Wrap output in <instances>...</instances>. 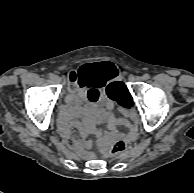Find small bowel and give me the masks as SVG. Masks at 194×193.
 <instances>
[{"mask_svg":"<svg viewBox=\"0 0 194 193\" xmlns=\"http://www.w3.org/2000/svg\"><path fill=\"white\" fill-rule=\"evenodd\" d=\"M118 74L117 68L107 62H100L88 66L78 76L79 88L71 95L74 100L65 105L61 112L60 130L68 143L79 151L85 150L82 137L86 131L94 130V121L106 120L112 132L116 131L119 123L125 120L117 118L112 113V102L107 100L101 89ZM81 98L84 102H77ZM126 116H131L130 109H123ZM83 115V126L76 119ZM75 128V134H72Z\"/></svg>","mask_w":194,"mask_h":193,"instance_id":"small-bowel-1","label":"small bowel"}]
</instances>
